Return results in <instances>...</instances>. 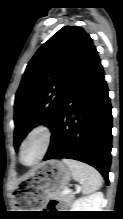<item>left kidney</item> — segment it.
<instances>
[{"mask_svg": "<svg viewBox=\"0 0 123 219\" xmlns=\"http://www.w3.org/2000/svg\"><path fill=\"white\" fill-rule=\"evenodd\" d=\"M104 196L101 192H97L88 197L77 199L72 204L71 211H102Z\"/></svg>", "mask_w": 123, "mask_h": 219, "instance_id": "obj_1", "label": "left kidney"}]
</instances>
